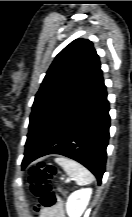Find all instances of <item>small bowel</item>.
I'll return each mask as SVG.
<instances>
[{
  "label": "small bowel",
  "instance_id": "1",
  "mask_svg": "<svg viewBox=\"0 0 132 217\" xmlns=\"http://www.w3.org/2000/svg\"><path fill=\"white\" fill-rule=\"evenodd\" d=\"M39 217H65L61 202L52 207L41 208Z\"/></svg>",
  "mask_w": 132,
  "mask_h": 217
}]
</instances>
